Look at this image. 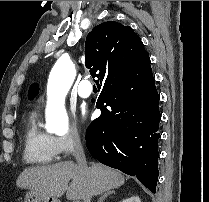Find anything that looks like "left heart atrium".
<instances>
[{"label":"left heart atrium","instance_id":"obj_1","mask_svg":"<svg viewBox=\"0 0 209 202\" xmlns=\"http://www.w3.org/2000/svg\"><path fill=\"white\" fill-rule=\"evenodd\" d=\"M83 117L85 118V117H86V115L84 114V115H83Z\"/></svg>","mask_w":209,"mask_h":202}]
</instances>
